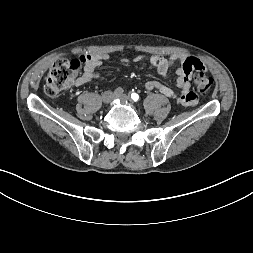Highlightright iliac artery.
I'll use <instances>...</instances> for the list:
<instances>
[{"label":"right iliac artery","mask_w":253,"mask_h":253,"mask_svg":"<svg viewBox=\"0 0 253 253\" xmlns=\"http://www.w3.org/2000/svg\"><path fill=\"white\" fill-rule=\"evenodd\" d=\"M123 89L121 88V87H118V88H116L115 90H114V94L115 95H121V94H123Z\"/></svg>","instance_id":"82829eb1"}]
</instances>
